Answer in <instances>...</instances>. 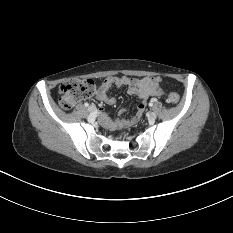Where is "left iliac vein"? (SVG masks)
<instances>
[{"instance_id":"4c4485c4","label":"left iliac vein","mask_w":233,"mask_h":233,"mask_svg":"<svg viewBox=\"0 0 233 233\" xmlns=\"http://www.w3.org/2000/svg\"><path fill=\"white\" fill-rule=\"evenodd\" d=\"M157 118V114L155 112H149L148 113V119L150 121H154Z\"/></svg>"}]
</instances>
